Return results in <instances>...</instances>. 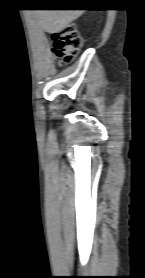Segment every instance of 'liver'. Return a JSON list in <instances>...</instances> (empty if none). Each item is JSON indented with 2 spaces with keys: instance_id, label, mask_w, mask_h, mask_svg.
I'll return each mask as SVG.
<instances>
[{
  "instance_id": "liver-1",
  "label": "liver",
  "mask_w": 145,
  "mask_h": 278,
  "mask_svg": "<svg viewBox=\"0 0 145 278\" xmlns=\"http://www.w3.org/2000/svg\"><path fill=\"white\" fill-rule=\"evenodd\" d=\"M83 10H36L38 25L47 33L54 34L65 29L83 14Z\"/></svg>"
}]
</instances>
